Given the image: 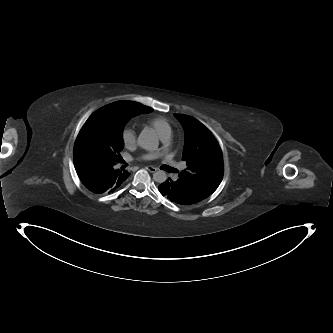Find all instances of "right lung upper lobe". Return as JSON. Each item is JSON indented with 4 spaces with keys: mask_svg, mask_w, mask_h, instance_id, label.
<instances>
[{
    "mask_svg": "<svg viewBox=\"0 0 333 333\" xmlns=\"http://www.w3.org/2000/svg\"><path fill=\"white\" fill-rule=\"evenodd\" d=\"M112 107L119 108V109H130L136 113V115L142 114V113H149L153 111L152 108L144 106L137 102H131V101H118L110 104ZM135 115V116H136Z\"/></svg>",
    "mask_w": 333,
    "mask_h": 333,
    "instance_id": "1",
    "label": "right lung upper lobe"
}]
</instances>
